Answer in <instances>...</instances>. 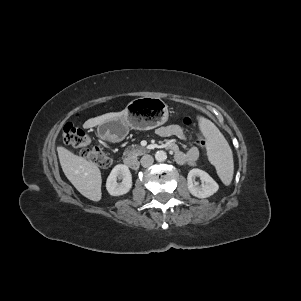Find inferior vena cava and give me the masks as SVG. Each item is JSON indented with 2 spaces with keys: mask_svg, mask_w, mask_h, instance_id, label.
<instances>
[{
  "mask_svg": "<svg viewBox=\"0 0 301 301\" xmlns=\"http://www.w3.org/2000/svg\"><path fill=\"white\" fill-rule=\"evenodd\" d=\"M140 161L143 167H149L153 164L154 159L151 155H144Z\"/></svg>",
  "mask_w": 301,
  "mask_h": 301,
  "instance_id": "1",
  "label": "inferior vena cava"
}]
</instances>
